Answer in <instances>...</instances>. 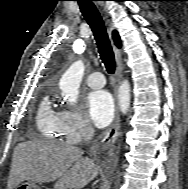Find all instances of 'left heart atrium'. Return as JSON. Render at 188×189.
Here are the masks:
<instances>
[{
	"label": "left heart atrium",
	"instance_id": "left-heart-atrium-1",
	"mask_svg": "<svg viewBox=\"0 0 188 189\" xmlns=\"http://www.w3.org/2000/svg\"><path fill=\"white\" fill-rule=\"evenodd\" d=\"M88 113L97 127L108 125L114 114V101L111 94L100 90L89 94L87 99Z\"/></svg>",
	"mask_w": 188,
	"mask_h": 189
}]
</instances>
